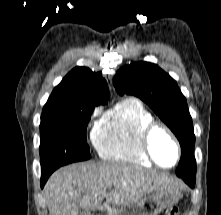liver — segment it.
Instances as JSON below:
<instances>
[{
  "label": "liver",
  "mask_w": 221,
  "mask_h": 215,
  "mask_svg": "<svg viewBox=\"0 0 221 215\" xmlns=\"http://www.w3.org/2000/svg\"><path fill=\"white\" fill-rule=\"evenodd\" d=\"M183 187L177 178L133 164L82 162L54 172L45 185V196L50 215H79L94 211L104 198L121 207L156 190Z\"/></svg>",
  "instance_id": "1"
}]
</instances>
